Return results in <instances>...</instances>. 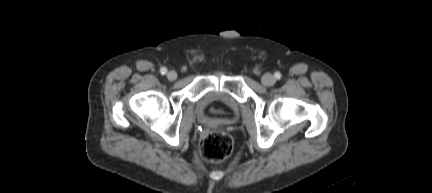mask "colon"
Segmentation results:
<instances>
[{"instance_id": "obj_1", "label": "colon", "mask_w": 432, "mask_h": 193, "mask_svg": "<svg viewBox=\"0 0 432 193\" xmlns=\"http://www.w3.org/2000/svg\"><path fill=\"white\" fill-rule=\"evenodd\" d=\"M233 149V140L223 132H212L202 138L199 145L200 155L208 161H222L229 157Z\"/></svg>"}]
</instances>
